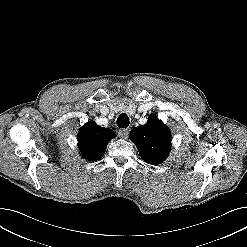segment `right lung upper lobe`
I'll list each match as a JSON object with an SVG mask.
<instances>
[{
	"label": "right lung upper lobe",
	"instance_id": "1",
	"mask_svg": "<svg viewBox=\"0 0 247 247\" xmlns=\"http://www.w3.org/2000/svg\"><path fill=\"white\" fill-rule=\"evenodd\" d=\"M114 137L113 130L100 127L91 121L79 130L78 146L86 159L96 161L103 156L107 144Z\"/></svg>",
	"mask_w": 247,
	"mask_h": 247
}]
</instances>
